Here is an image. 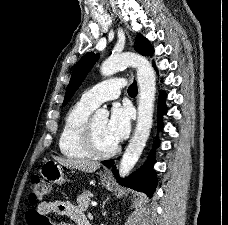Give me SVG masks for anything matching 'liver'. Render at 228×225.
Segmentation results:
<instances>
[{
	"label": "liver",
	"instance_id": "6515ba94",
	"mask_svg": "<svg viewBox=\"0 0 228 225\" xmlns=\"http://www.w3.org/2000/svg\"><path fill=\"white\" fill-rule=\"evenodd\" d=\"M53 159L60 165L69 167V169H79V171H85V173L100 169V163H97V161H71V159H60V157H53Z\"/></svg>",
	"mask_w": 228,
	"mask_h": 225
}]
</instances>
